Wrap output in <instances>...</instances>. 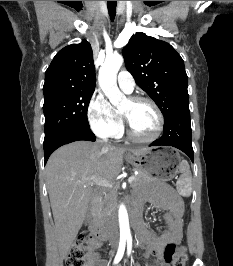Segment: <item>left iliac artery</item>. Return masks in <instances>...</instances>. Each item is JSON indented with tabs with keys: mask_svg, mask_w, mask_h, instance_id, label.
I'll return each instance as SVG.
<instances>
[{
	"mask_svg": "<svg viewBox=\"0 0 233 266\" xmlns=\"http://www.w3.org/2000/svg\"><path fill=\"white\" fill-rule=\"evenodd\" d=\"M132 250V238H127V255L129 256Z\"/></svg>",
	"mask_w": 233,
	"mask_h": 266,
	"instance_id": "44dca946",
	"label": "left iliac artery"
}]
</instances>
